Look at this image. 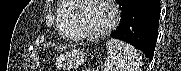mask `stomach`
I'll return each instance as SVG.
<instances>
[{
    "instance_id": "1",
    "label": "stomach",
    "mask_w": 181,
    "mask_h": 71,
    "mask_svg": "<svg viewBox=\"0 0 181 71\" xmlns=\"http://www.w3.org/2000/svg\"><path fill=\"white\" fill-rule=\"evenodd\" d=\"M85 55L77 50H70L61 54L56 65L63 70H69L77 67L84 62Z\"/></svg>"
}]
</instances>
